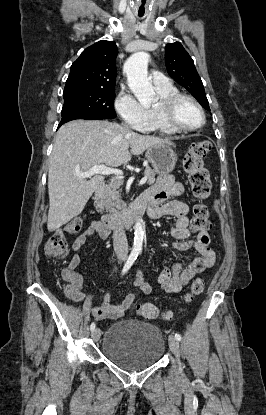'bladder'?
<instances>
[{
  "label": "bladder",
  "mask_w": 266,
  "mask_h": 415,
  "mask_svg": "<svg viewBox=\"0 0 266 415\" xmlns=\"http://www.w3.org/2000/svg\"><path fill=\"white\" fill-rule=\"evenodd\" d=\"M165 348V339L160 329L136 319L113 323L102 342L103 355L128 371H138L154 365L162 358Z\"/></svg>",
  "instance_id": "bladder-1"
}]
</instances>
